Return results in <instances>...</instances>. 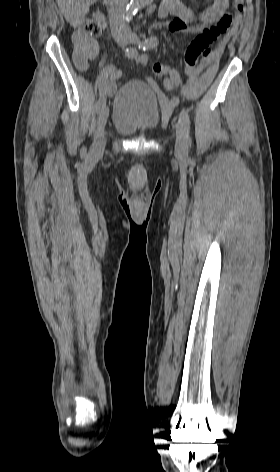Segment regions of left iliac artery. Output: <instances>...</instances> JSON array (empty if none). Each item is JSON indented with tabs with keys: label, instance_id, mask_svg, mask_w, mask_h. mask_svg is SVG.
<instances>
[{
	"label": "left iliac artery",
	"instance_id": "left-iliac-artery-1",
	"mask_svg": "<svg viewBox=\"0 0 280 472\" xmlns=\"http://www.w3.org/2000/svg\"><path fill=\"white\" fill-rule=\"evenodd\" d=\"M157 45H158V39L156 37H149V38L145 39V41L142 44L139 45V48L146 51V50H150V49L155 48ZM170 77H171V82H172L173 86L176 87V88L180 87L181 77H180L179 72L176 69L171 70ZM179 121L182 123V125L184 126V128L186 130L187 139H190V137H189L190 118H189L188 113L185 112V111H182L179 114Z\"/></svg>",
	"mask_w": 280,
	"mask_h": 472
}]
</instances>
